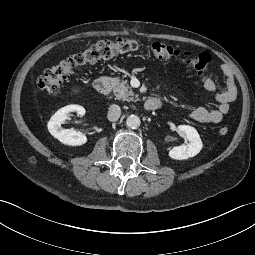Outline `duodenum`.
<instances>
[{
  "mask_svg": "<svg viewBox=\"0 0 255 255\" xmlns=\"http://www.w3.org/2000/svg\"><path fill=\"white\" fill-rule=\"evenodd\" d=\"M112 87V79L109 76L102 75L95 80V89L99 94H109ZM160 106L158 98H149L144 102V107L148 111H154Z\"/></svg>",
  "mask_w": 255,
  "mask_h": 255,
  "instance_id": "1",
  "label": "duodenum"
}]
</instances>
